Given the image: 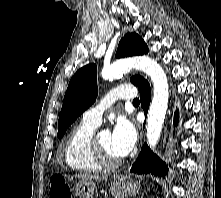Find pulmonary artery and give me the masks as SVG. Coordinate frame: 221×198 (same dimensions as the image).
Instances as JSON below:
<instances>
[{
    "instance_id": "pulmonary-artery-1",
    "label": "pulmonary artery",
    "mask_w": 221,
    "mask_h": 198,
    "mask_svg": "<svg viewBox=\"0 0 221 198\" xmlns=\"http://www.w3.org/2000/svg\"><path fill=\"white\" fill-rule=\"evenodd\" d=\"M136 97V90L130 85H122L112 89L101 102L88 109L83 114V120L99 125L105 109L110 107L118 99H133Z\"/></svg>"
}]
</instances>
